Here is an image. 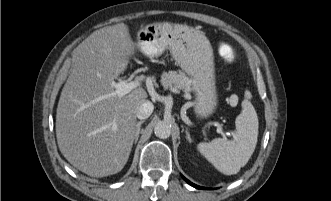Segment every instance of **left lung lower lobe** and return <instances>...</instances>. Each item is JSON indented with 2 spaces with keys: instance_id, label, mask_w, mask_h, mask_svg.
I'll return each mask as SVG.
<instances>
[{
  "instance_id": "obj_1",
  "label": "left lung lower lobe",
  "mask_w": 331,
  "mask_h": 201,
  "mask_svg": "<svg viewBox=\"0 0 331 201\" xmlns=\"http://www.w3.org/2000/svg\"><path fill=\"white\" fill-rule=\"evenodd\" d=\"M183 179H184L188 184H190L191 186H193V187H195V188H197V189H207V188L200 187V186H198V185L193 184L192 182H190L189 180H187L185 177H183Z\"/></svg>"
}]
</instances>
